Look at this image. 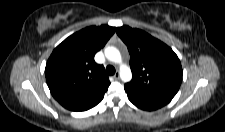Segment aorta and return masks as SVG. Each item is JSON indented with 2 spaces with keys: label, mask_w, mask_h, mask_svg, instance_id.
<instances>
[{
  "label": "aorta",
  "mask_w": 225,
  "mask_h": 132,
  "mask_svg": "<svg viewBox=\"0 0 225 132\" xmlns=\"http://www.w3.org/2000/svg\"><path fill=\"white\" fill-rule=\"evenodd\" d=\"M104 54L109 61L120 64V78L124 82H129L132 79V72L130 67L122 63L120 51L116 47L108 46L105 48Z\"/></svg>",
  "instance_id": "aorta-1"
}]
</instances>
